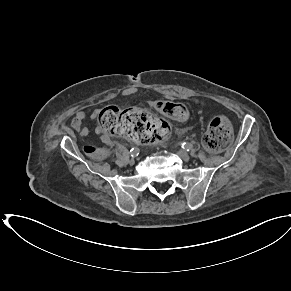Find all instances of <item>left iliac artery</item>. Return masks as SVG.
<instances>
[{
  "label": "left iliac artery",
  "instance_id": "left-iliac-artery-1",
  "mask_svg": "<svg viewBox=\"0 0 291 291\" xmlns=\"http://www.w3.org/2000/svg\"><path fill=\"white\" fill-rule=\"evenodd\" d=\"M181 147H182L183 149L189 151V150L191 149L192 146H191V144H189V143L183 142V143H181Z\"/></svg>",
  "mask_w": 291,
  "mask_h": 291
}]
</instances>
